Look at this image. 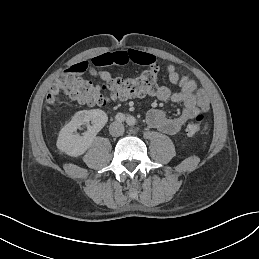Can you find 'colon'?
I'll return each mask as SVG.
<instances>
[{"label":"colon","mask_w":259,"mask_h":259,"mask_svg":"<svg viewBox=\"0 0 259 259\" xmlns=\"http://www.w3.org/2000/svg\"><path fill=\"white\" fill-rule=\"evenodd\" d=\"M158 68L153 64L134 77L110 78L102 86L74 73L61 75L52 86L47 97L50 106L68 97L90 106H105L109 102H121L132 97H143L153 94L157 89ZM206 126V118L199 115L194 121L187 123L185 132L192 136L202 132Z\"/></svg>","instance_id":"obj_1"}]
</instances>
